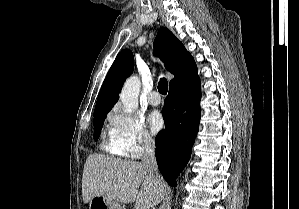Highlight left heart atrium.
Segmentation results:
<instances>
[{"label":"left heart atrium","mask_w":299,"mask_h":209,"mask_svg":"<svg viewBox=\"0 0 299 209\" xmlns=\"http://www.w3.org/2000/svg\"><path fill=\"white\" fill-rule=\"evenodd\" d=\"M149 127L152 133H158L164 127V118L160 112L154 111L148 117Z\"/></svg>","instance_id":"obj_1"}]
</instances>
